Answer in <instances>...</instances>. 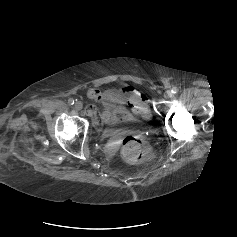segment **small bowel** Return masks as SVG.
I'll return each instance as SVG.
<instances>
[{"label": "small bowel", "mask_w": 237, "mask_h": 237, "mask_svg": "<svg viewBox=\"0 0 237 237\" xmlns=\"http://www.w3.org/2000/svg\"><path fill=\"white\" fill-rule=\"evenodd\" d=\"M87 95L103 107L102 114H99L93 105L87 107L88 116L98 128L111 127L120 121L131 119L132 114L129 108L136 115L147 116L149 112L147 97L133 86L124 85L104 91L91 88Z\"/></svg>", "instance_id": "small-bowel-1"}]
</instances>
